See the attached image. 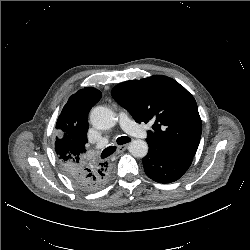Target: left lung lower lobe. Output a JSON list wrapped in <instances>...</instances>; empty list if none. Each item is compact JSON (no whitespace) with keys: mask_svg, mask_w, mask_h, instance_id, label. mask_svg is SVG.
I'll use <instances>...</instances> for the list:
<instances>
[{"mask_svg":"<svg viewBox=\"0 0 250 250\" xmlns=\"http://www.w3.org/2000/svg\"><path fill=\"white\" fill-rule=\"evenodd\" d=\"M142 161L149 178L158 183H171L187 171L192 158L171 155L149 146L148 154Z\"/></svg>","mask_w":250,"mask_h":250,"instance_id":"left-lung-lower-lobe-1","label":"left lung lower lobe"}]
</instances>
